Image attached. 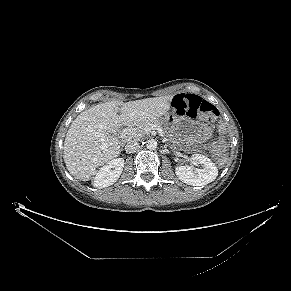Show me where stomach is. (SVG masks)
<instances>
[{
    "label": "stomach",
    "instance_id": "stomach-1",
    "mask_svg": "<svg viewBox=\"0 0 291 291\" xmlns=\"http://www.w3.org/2000/svg\"><path fill=\"white\" fill-rule=\"evenodd\" d=\"M164 120L169 125H176L182 128L187 127L190 136L199 140L206 138L210 133V129L207 126L187 116L167 114Z\"/></svg>",
    "mask_w": 291,
    "mask_h": 291
}]
</instances>
